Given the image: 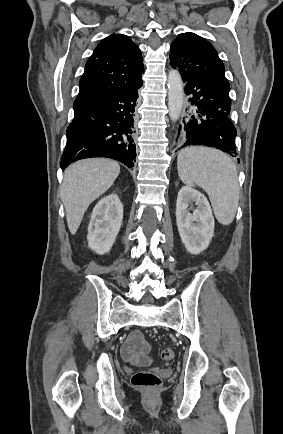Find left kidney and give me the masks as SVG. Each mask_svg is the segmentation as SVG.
Returning <instances> with one entry per match:
<instances>
[{"instance_id":"obj_1","label":"left kidney","mask_w":283,"mask_h":434,"mask_svg":"<svg viewBox=\"0 0 283 434\" xmlns=\"http://www.w3.org/2000/svg\"><path fill=\"white\" fill-rule=\"evenodd\" d=\"M197 209L191 214V203ZM176 222L186 250L194 255L206 250L214 234L215 221L207 198L199 191L184 186L178 192L176 203Z\"/></svg>"}]
</instances>
